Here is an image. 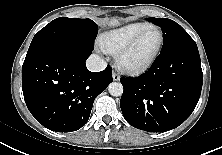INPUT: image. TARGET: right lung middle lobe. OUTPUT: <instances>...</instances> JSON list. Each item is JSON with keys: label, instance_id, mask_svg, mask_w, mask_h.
<instances>
[{"label": "right lung middle lobe", "instance_id": "obj_1", "mask_svg": "<svg viewBox=\"0 0 222 155\" xmlns=\"http://www.w3.org/2000/svg\"><path fill=\"white\" fill-rule=\"evenodd\" d=\"M97 31V24L91 19L57 18L36 33L26 58L56 45L82 44L94 46Z\"/></svg>", "mask_w": 222, "mask_h": 155}]
</instances>
